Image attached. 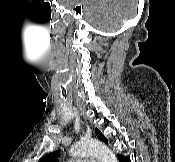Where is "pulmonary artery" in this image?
Wrapping results in <instances>:
<instances>
[{
	"mask_svg": "<svg viewBox=\"0 0 175 162\" xmlns=\"http://www.w3.org/2000/svg\"><path fill=\"white\" fill-rule=\"evenodd\" d=\"M69 162H95L93 159H74L70 160Z\"/></svg>",
	"mask_w": 175,
	"mask_h": 162,
	"instance_id": "pulmonary-artery-1",
	"label": "pulmonary artery"
}]
</instances>
